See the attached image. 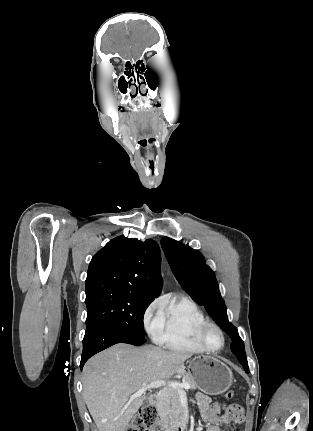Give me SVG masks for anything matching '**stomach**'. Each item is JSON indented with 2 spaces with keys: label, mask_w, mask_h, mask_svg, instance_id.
Instances as JSON below:
<instances>
[{
  "label": "stomach",
  "mask_w": 313,
  "mask_h": 431,
  "mask_svg": "<svg viewBox=\"0 0 313 431\" xmlns=\"http://www.w3.org/2000/svg\"><path fill=\"white\" fill-rule=\"evenodd\" d=\"M187 369V374L196 382L197 387L209 395L224 393L234 381L230 368L211 356L194 357Z\"/></svg>",
  "instance_id": "stomach-1"
}]
</instances>
